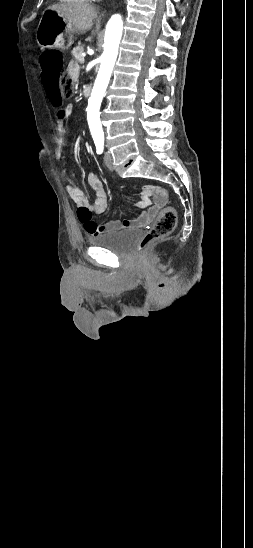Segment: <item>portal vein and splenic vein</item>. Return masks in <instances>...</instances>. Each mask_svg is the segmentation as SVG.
I'll return each mask as SVG.
<instances>
[{
  "mask_svg": "<svg viewBox=\"0 0 253 548\" xmlns=\"http://www.w3.org/2000/svg\"><path fill=\"white\" fill-rule=\"evenodd\" d=\"M80 62H81V63H84V57H81V58H80Z\"/></svg>",
  "mask_w": 253,
  "mask_h": 548,
  "instance_id": "obj_1",
  "label": "portal vein and splenic vein"
}]
</instances>
